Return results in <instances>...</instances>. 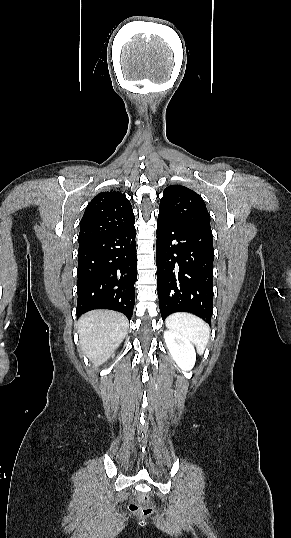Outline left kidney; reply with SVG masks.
Instances as JSON below:
<instances>
[{
	"label": "left kidney",
	"instance_id": "5707ae66",
	"mask_svg": "<svg viewBox=\"0 0 291 538\" xmlns=\"http://www.w3.org/2000/svg\"><path fill=\"white\" fill-rule=\"evenodd\" d=\"M166 346L183 371H190L196 362V352L191 342L182 334L172 331L164 332Z\"/></svg>",
	"mask_w": 291,
	"mask_h": 538
}]
</instances>
